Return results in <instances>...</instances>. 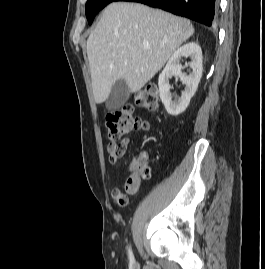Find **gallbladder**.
<instances>
[{"label":"gallbladder","mask_w":265,"mask_h":269,"mask_svg":"<svg viewBox=\"0 0 265 269\" xmlns=\"http://www.w3.org/2000/svg\"><path fill=\"white\" fill-rule=\"evenodd\" d=\"M130 96V90L127 83L124 80L116 81L110 94L106 100V108L108 110H116L125 104Z\"/></svg>","instance_id":"gallbladder-1"}]
</instances>
